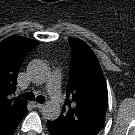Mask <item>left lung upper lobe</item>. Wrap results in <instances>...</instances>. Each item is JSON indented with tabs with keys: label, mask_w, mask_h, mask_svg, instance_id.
<instances>
[{
	"label": "left lung upper lobe",
	"mask_w": 135,
	"mask_h": 135,
	"mask_svg": "<svg viewBox=\"0 0 135 135\" xmlns=\"http://www.w3.org/2000/svg\"><path fill=\"white\" fill-rule=\"evenodd\" d=\"M72 49L70 76L62 114L54 122L71 135H97L104 124L108 92L100 64L83 41L69 40Z\"/></svg>",
	"instance_id": "5c2ea615"
}]
</instances>
